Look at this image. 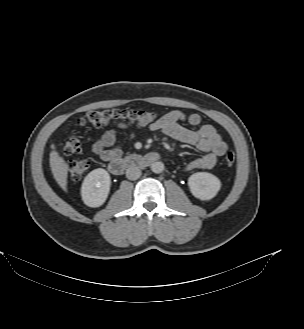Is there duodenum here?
<instances>
[{
    "label": "duodenum",
    "instance_id": "obj_1",
    "mask_svg": "<svg viewBox=\"0 0 304 329\" xmlns=\"http://www.w3.org/2000/svg\"><path fill=\"white\" fill-rule=\"evenodd\" d=\"M156 152H148L145 154L130 153L122 159H115L109 163V171L116 176L124 173L130 167H144L156 162L159 159Z\"/></svg>",
    "mask_w": 304,
    "mask_h": 329
}]
</instances>
